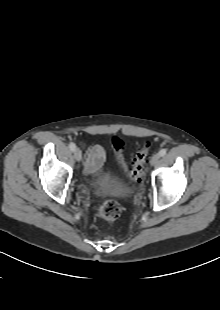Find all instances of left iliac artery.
I'll return each mask as SVG.
<instances>
[{"mask_svg": "<svg viewBox=\"0 0 220 310\" xmlns=\"http://www.w3.org/2000/svg\"><path fill=\"white\" fill-rule=\"evenodd\" d=\"M166 152H167L166 149H161V150L159 151V155H160V156H165V155H166Z\"/></svg>", "mask_w": 220, "mask_h": 310, "instance_id": "44dca946", "label": "left iliac artery"}]
</instances>
